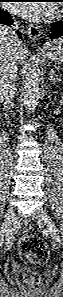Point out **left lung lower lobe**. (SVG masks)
Here are the masks:
<instances>
[{"label":"left lung lower lobe","mask_w":63,"mask_h":297,"mask_svg":"<svg viewBox=\"0 0 63 297\" xmlns=\"http://www.w3.org/2000/svg\"><path fill=\"white\" fill-rule=\"evenodd\" d=\"M50 36L52 39L63 36V20L51 26Z\"/></svg>","instance_id":"1"}]
</instances>
